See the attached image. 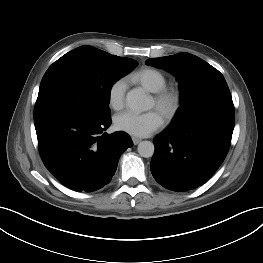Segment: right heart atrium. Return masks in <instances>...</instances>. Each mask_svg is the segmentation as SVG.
Listing matches in <instances>:
<instances>
[{"label": "right heart atrium", "mask_w": 263, "mask_h": 263, "mask_svg": "<svg viewBox=\"0 0 263 263\" xmlns=\"http://www.w3.org/2000/svg\"><path fill=\"white\" fill-rule=\"evenodd\" d=\"M126 84L124 80L117 79L111 83L107 91L108 105L113 110H121L125 101Z\"/></svg>", "instance_id": "d8ad5b80"}]
</instances>
